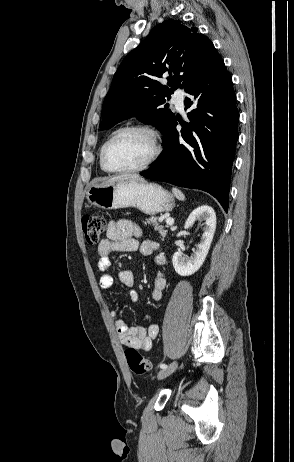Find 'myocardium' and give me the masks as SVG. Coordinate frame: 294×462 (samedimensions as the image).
Masks as SVG:
<instances>
[{"label":"myocardium","instance_id":"obj_1","mask_svg":"<svg viewBox=\"0 0 294 462\" xmlns=\"http://www.w3.org/2000/svg\"><path fill=\"white\" fill-rule=\"evenodd\" d=\"M127 131H139V132H143L147 134L150 137L151 142H152V146H153L152 153L150 154L148 159L139 166L132 167V168H126V169H113L108 166L107 161H106V154H107L108 147L117 137H119L121 134ZM161 152H162L161 141H160L159 134L156 132V130H154L153 128L147 125L129 124V125H126V126H123L117 129L107 139V141L102 145L101 151H100V163H101V167L103 168V170L109 173H118V174L136 173V172H141L149 168L158 159Z\"/></svg>","mask_w":294,"mask_h":462}]
</instances>
